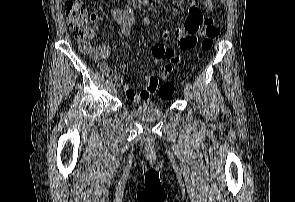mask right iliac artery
I'll return each instance as SVG.
<instances>
[{
  "instance_id": "82829eb1",
  "label": "right iliac artery",
  "mask_w": 295,
  "mask_h": 202,
  "mask_svg": "<svg viewBox=\"0 0 295 202\" xmlns=\"http://www.w3.org/2000/svg\"><path fill=\"white\" fill-rule=\"evenodd\" d=\"M111 83H112V82H111L110 80H107V81H106V84H107V85H109V84H111Z\"/></svg>"
}]
</instances>
